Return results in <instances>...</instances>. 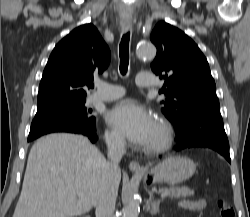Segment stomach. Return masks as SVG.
<instances>
[{
  "label": "stomach",
  "mask_w": 250,
  "mask_h": 217,
  "mask_svg": "<svg viewBox=\"0 0 250 217\" xmlns=\"http://www.w3.org/2000/svg\"><path fill=\"white\" fill-rule=\"evenodd\" d=\"M195 170L196 165L191 159L175 156L150 168L143 176L148 183L164 182L174 185L191 178Z\"/></svg>",
  "instance_id": "stomach-1"
}]
</instances>
